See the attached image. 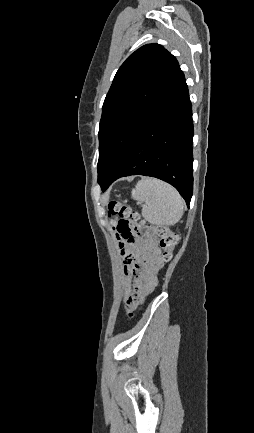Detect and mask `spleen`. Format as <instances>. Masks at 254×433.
Listing matches in <instances>:
<instances>
[{"label": "spleen", "instance_id": "obj_1", "mask_svg": "<svg viewBox=\"0 0 254 433\" xmlns=\"http://www.w3.org/2000/svg\"><path fill=\"white\" fill-rule=\"evenodd\" d=\"M131 196L142 206V216L152 224L171 226L183 215L182 197L175 188L159 179L146 178L138 181Z\"/></svg>", "mask_w": 254, "mask_h": 433}]
</instances>
